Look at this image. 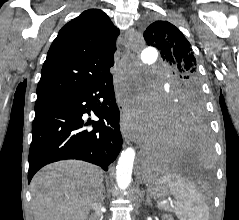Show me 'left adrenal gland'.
Masks as SVG:
<instances>
[{"label": "left adrenal gland", "instance_id": "a2214340", "mask_svg": "<svg viewBox=\"0 0 239 220\" xmlns=\"http://www.w3.org/2000/svg\"><path fill=\"white\" fill-rule=\"evenodd\" d=\"M145 204H146V205H152V204H151V201H150V198H149L148 196H147V199H146V201H145Z\"/></svg>", "mask_w": 239, "mask_h": 220}]
</instances>
